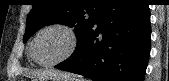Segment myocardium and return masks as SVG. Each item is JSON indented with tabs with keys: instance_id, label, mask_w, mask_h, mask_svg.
I'll use <instances>...</instances> for the list:
<instances>
[{
	"instance_id": "f54148a6",
	"label": "myocardium",
	"mask_w": 169,
	"mask_h": 81,
	"mask_svg": "<svg viewBox=\"0 0 169 81\" xmlns=\"http://www.w3.org/2000/svg\"><path fill=\"white\" fill-rule=\"evenodd\" d=\"M53 29L61 30L65 34L68 35V37L70 39L69 49L58 60H56L54 62H51V63H41L40 61L37 60V58L35 56V43H36V40L42 33L46 32V31H49V30H53ZM77 46H78V35H77L76 31L72 27H70V26H68L66 24L55 23V24H51V25H48V26L42 28L41 30H39L36 33V35L34 36L32 42H31L30 55H31V58L33 59V61L36 64H38L39 66L44 67V68H52V67H54V66H56V65H58V64H60V63H62L64 61H66L67 59H69L74 54V52L76 51Z\"/></svg>"
}]
</instances>
